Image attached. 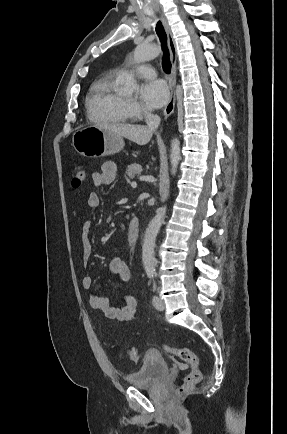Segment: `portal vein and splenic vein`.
I'll list each match as a JSON object with an SVG mask.
<instances>
[{"label": "portal vein and splenic vein", "instance_id": "1", "mask_svg": "<svg viewBox=\"0 0 287 434\" xmlns=\"http://www.w3.org/2000/svg\"><path fill=\"white\" fill-rule=\"evenodd\" d=\"M130 185H131V187H133V188H136V186H137V183L133 181V182H131V184H130Z\"/></svg>", "mask_w": 287, "mask_h": 434}]
</instances>
